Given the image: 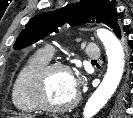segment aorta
<instances>
[{
  "mask_svg": "<svg viewBox=\"0 0 133 118\" xmlns=\"http://www.w3.org/2000/svg\"><path fill=\"white\" fill-rule=\"evenodd\" d=\"M97 36L103 43L108 58V69L103 81L87 101L83 118H93L115 93L124 73L125 55L117 37L107 29H98Z\"/></svg>",
  "mask_w": 133,
  "mask_h": 118,
  "instance_id": "aorta-1",
  "label": "aorta"
}]
</instances>
